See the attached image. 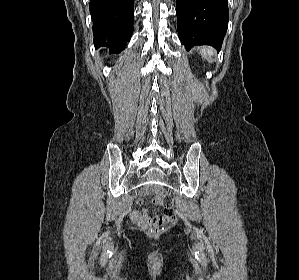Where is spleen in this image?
<instances>
[{"instance_id": "spleen-1", "label": "spleen", "mask_w": 299, "mask_h": 280, "mask_svg": "<svg viewBox=\"0 0 299 280\" xmlns=\"http://www.w3.org/2000/svg\"><path fill=\"white\" fill-rule=\"evenodd\" d=\"M200 53L202 58L209 60L215 54V51L211 47H203L200 49Z\"/></svg>"}]
</instances>
